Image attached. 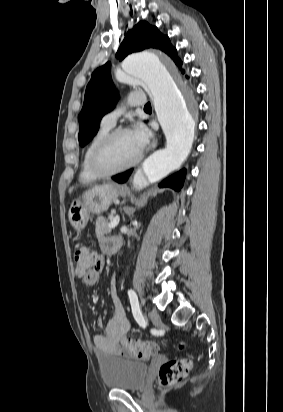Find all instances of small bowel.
Listing matches in <instances>:
<instances>
[{
	"label": "small bowel",
	"mask_w": 283,
	"mask_h": 412,
	"mask_svg": "<svg viewBox=\"0 0 283 412\" xmlns=\"http://www.w3.org/2000/svg\"><path fill=\"white\" fill-rule=\"evenodd\" d=\"M116 240V238H102L100 240L101 250L104 253H111V245ZM99 257L101 258V264L96 266L83 278L84 283L88 286H92L98 281L100 271L103 268V259L101 256ZM109 292L113 306V315L106 323L104 333L94 336L95 349L101 357H128L127 353L120 348L119 342L128 333L130 322L120 300L115 277L111 279ZM97 325L100 327L103 326V320L101 318L97 319Z\"/></svg>",
	"instance_id": "small-bowel-1"
}]
</instances>
